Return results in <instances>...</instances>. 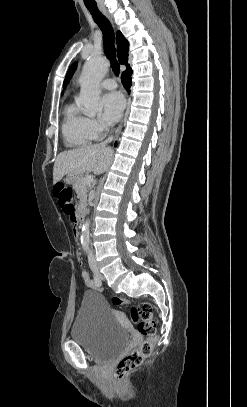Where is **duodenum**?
<instances>
[{"instance_id": "410a0bca", "label": "duodenum", "mask_w": 247, "mask_h": 407, "mask_svg": "<svg viewBox=\"0 0 247 407\" xmlns=\"http://www.w3.org/2000/svg\"><path fill=\"white\" fill-rule=\"evenodd\" d=\"M84 218H85V208L81 207L77 212V221L81 223L84 220Z\"/></svg>"}]
</instances>
